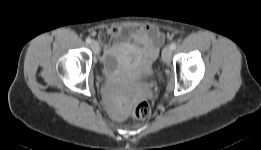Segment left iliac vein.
<instances>
[{
  "instance_id": "1",
  "label": "left iliac vein",
  "mask_w": 261,
  "mask_h": 150,
  "mask_svg": "<svg viewBox=\"0 0 261 150\" xmlns=\"http://www.w3.org/2000/svg\"><path fill=\"white\" fill-rule=\"evenodd\" d=\"M172 58V49L169 46L164 47L162 51V59L166 64H169Z\"/></svg>"
}]
</instances>
